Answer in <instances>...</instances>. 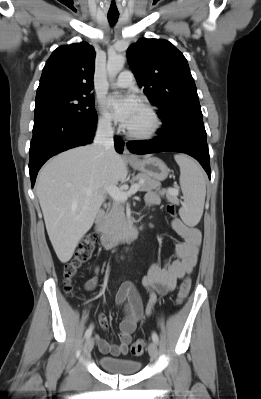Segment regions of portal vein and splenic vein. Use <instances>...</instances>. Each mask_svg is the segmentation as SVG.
<instances>
[{
  "mask_svg": "<svg viewBox=\"0 0 261 399\" xmlns=\"http://www.w3.org/2000/svg\"><path fill=\"white\" fill-rule=\"evenodd\" d=\"M139 184H133L128 191H123L116 186H108L107 192L109 195L116 201L125 202L128 197L135 194L139 190ZM168 192L171 194L177 195L178 190L176 189H169ZM92 193V189H86V194L89 195Z\"/></svg>",
  "mask_w": 261,
  "mask_h": 399,
  "instance_id": "18ae733b",
  "label": "portal vein and splenic vein"
}]
</instances>
